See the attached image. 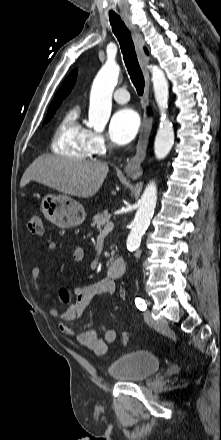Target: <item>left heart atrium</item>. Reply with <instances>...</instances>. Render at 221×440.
Wrapping results in <instances>:
<instances>
[{"label": "left heart atrium", "mask_w": 221, "mask_h": 440, "mask_svg": "<svg viewBox=\"0 0 221 440\" xmlns=\"http://www.w3.org/2000/svg\"><path fill=\"white\" fill-rule=\"evenodd\" d=\"M139 126L138 114L130 108H122L112 116L109 133L115 143L127 144L136 136Z\"/></svg>", "instance_id": "39dd6f15"}]
</instances>
